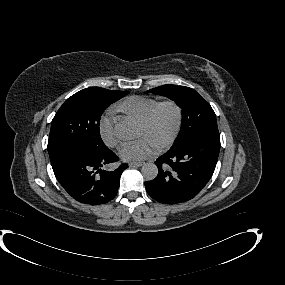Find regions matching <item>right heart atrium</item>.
<instances>
[{
  "instance_id": "right-heart-atrium-1",
  "label": "right heart atrium",
  "mask_w": 285,
  "mask_h": 285,
  "mask_svg": "<svg viewBox=\"0 0 285 285\" xmlns=\"http://www.w3.org/2000/svg\"><path fill=\"white\" fill-rule=\"evenodd\" d=\"M101 135L109 146H115L119 140L120 135L116 130V119L113 116H107L101 123Z\"/></svg>"
}]
</instances>
